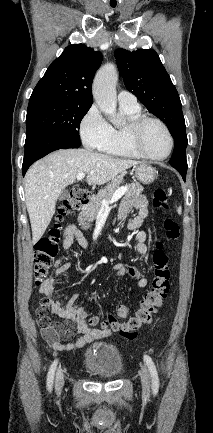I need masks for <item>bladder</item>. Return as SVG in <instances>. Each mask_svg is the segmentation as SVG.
<instances>
[{
  "mask_svg": "<svg viewBox=\"0 0 213 433\" xmlns=\"http://www.w3.org/2000/svg\"><path fill=\"white\" fill-rule=\"evenodd\" d=\"M84 366L100 378H115L123 370L122 354L114 345L97 343L85 352Z\"/></svg>",
  "mask_w": 213,
  "mask_h": 433,
  "instance_id": "1",
  "label": "bladder"
}]
</instances>
